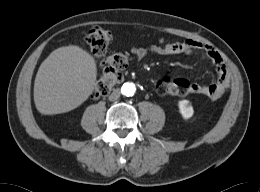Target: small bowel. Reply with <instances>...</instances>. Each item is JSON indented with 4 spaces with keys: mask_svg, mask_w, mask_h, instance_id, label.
<instances>
[{
    "mask_svg": "<svg viewBox=\"0 0 260 192\" xmlns=\"http://www.w3.org/2000/svg\"><path fill=\"white\" fill-rule=\"evenodd\" d=\"M203 52L207 58L214 64L217 73V80L210 85H201L197 82H191L190 92L206 96L216 100L226 93L231 84V75L228 67L217 51L211 46L203 44L193 39H187L181 42H171L163 38L157 40V43L148 47H133L131 53L136 59H143L149 54L156 55H178L193 54Z\"/></svg>",
    "mask_w": 260,
    "mask_h": 192,
    "instance_id": "obj_1",
    "label": "small bowel"
}]
</instances>
